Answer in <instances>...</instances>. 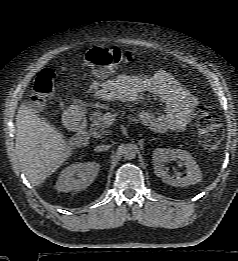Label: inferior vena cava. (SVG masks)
<instances>
[{"mask_svg": "<svg viewBox=\"0 0 238 261\" xmlns=\"http://www.w3.org/2000/svg\"><path fill=\"white\" fill-rule=\"evenodd\" d=\"M109 148H110L109 145H99V146L95 147V151H97V152L106 151Z\"/></svg>", "mask_w": 238, "mask_h": 261, "instance_id": "602c4592", "label": "inferior vena cava"}]
</instances>
